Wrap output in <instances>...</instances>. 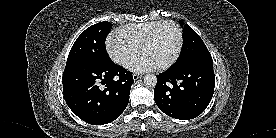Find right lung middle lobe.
<instances>
[{"label":"right lung middle lobe","mask_w":276,"mask_h":138,"mask_svg":"<svg viewBox=\"0 0 276 138\" xmlns=\"http://www.w3.org/2000/svg\"><path fill=\"white\" fill-rule=\"evenodd\" d=\"M112 24L100 22L88 27L74 42L66 66L79 62L110 63L105 40Z\"/></svg>","instance_id":"obj_1"}]
</instances>
